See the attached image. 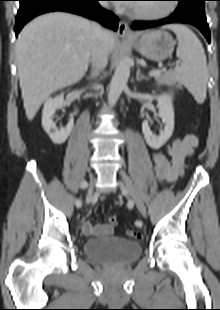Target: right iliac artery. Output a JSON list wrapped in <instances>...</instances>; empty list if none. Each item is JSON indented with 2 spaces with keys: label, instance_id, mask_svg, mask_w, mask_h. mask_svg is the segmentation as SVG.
<instances>
[{
  "label": "right iliac artery",
  "instance_id": "82829eb1",
  "mask_svg": "<svg viewBox=\"0 0 220 310\" xmlns=\"http://www.w3.org/2000/svg\"><path fill=\"white\" fill-rule=\"evenodd\" d=\"M87 185H88L87 182L83 181V182L80 184V187H81L82 189H85V188L87 187ZM75 204H76V206H77L78 208H80L81 205H82V202H81L80 199H76V200H75Z\"/></svg>",
  "mask_w": 220,
  "mask_h": 310
}]
</instances>
